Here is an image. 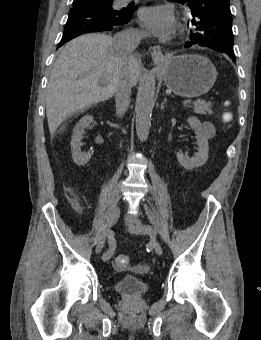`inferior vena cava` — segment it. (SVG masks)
<instances>
[{
	"instance_id": "obj_1",
	"label": "inferior vena cava",
	"mask_w": 261,
	"mask_h": 340,
	"mask_svg": "<svg viewBox=\"0 0 261 340\" xmlns=\"http://www.w3.org/2000/svg\"><path fill=\"white\" fill-rule=\"evenodd\" d=\"M144 33L128 29L117 33L114 38V47L119 55L123 58L132 56L133 51L139 45ZM132 83L127 75L120 77L115 89L116 113L122 117L128 109L131 98Z\"/></svg>"
}]
</instances>
